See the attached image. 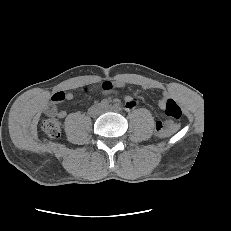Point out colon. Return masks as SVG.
Returning <instances> with one entry per match:
<instances>
[{"instance_id":"colon-1","label":"colon","mask_w":231,"mask_h":231,"mask_svg":"<svg viewBox=\"0 0 231 231\" xmlns=\"http://www.w3.org/2000/svg\"><path fill=\"white\" fill-rule=\"evenodd\" d=\"M101 88L103 90H108L112 88V85L110 82H104L102 83ZM58 99H59L58 95H54L52 97L51 107L53 106V103ZM163 110L165 115L173 120H178L182 116V110L180 106L173 99H166L164 101ZM41 127L43 131L52 138H57L61 134L60 122L56 117L52 115L42 120ZM172 127H173L172 125H169L168 128H164L161 123H157L156 125L157 134L159 136H165L172 129Z\"/></svg>"}]
</instances>
